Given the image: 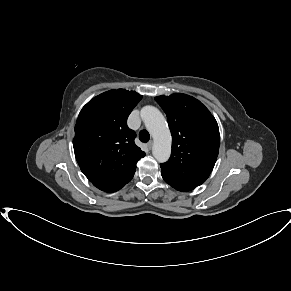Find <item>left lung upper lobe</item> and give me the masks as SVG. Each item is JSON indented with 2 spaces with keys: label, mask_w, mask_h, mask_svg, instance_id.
<instances>
[{
  "label": "left lung upper lobe",
  "mask_w": 291,
  "mask_h": 291,
  "mask_svg": "<svg viewBox=\"0 0 291 291\" xmlns=\"http://www.w3.org/2000/svg\"><path fill=\"white\" fill-rule=\"evenodd\" d=\"M167 115L172 135L169 161L162 172L192 186L206 181L219 152V128L209 110L192 96L175 93L155 98Z\"/></svg>",
  "instance_id": "5c2ea615"
}]
</instances>
